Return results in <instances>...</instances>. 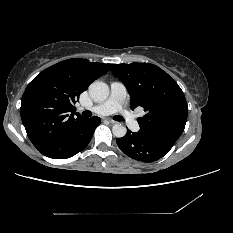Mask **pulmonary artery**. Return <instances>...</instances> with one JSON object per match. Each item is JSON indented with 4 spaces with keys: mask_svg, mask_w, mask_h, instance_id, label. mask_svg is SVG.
I'll list each match as a JSON object with an SVG mask.
<instances>
[{
    "mask_svg": "<svg viewBox=\"0 0 233 233\" xmlns=\"http://www.w3.org/2000/svg\"><path fill=\"white\" fill-rule=\"evenodd\" d=\"M127 96V90L121 82H112L110 84V95L102 103L92 108V111L99 115H107L113 112L121 114L123 121L134 131L140 129L138 120L127 110L123 109L124 101Z\"/></svg>",
    "mask_w": 233,
    "mask_h": 233,
    "instance_id": "obj_1",
    "label": "pulmonary artery"
}]
</instances>
